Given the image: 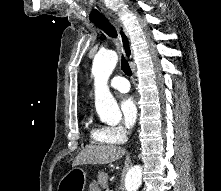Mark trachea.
Returning <instances> with one entry per match:
<instances>
[{"label":"trachea","instance_id":"3493384b","mask_svg":"<svg viewBox=\"0 0 221 191\" xmlns=\"http://www.w3.org/2000/svg\"><path fill=\"white\" fill-rule=\"evenodd\" d=\"M92 23H94L99 28H101L108 36H110L112 38H116L117 37L116 30L111 25V23H109L107 21L106 18L103 17V18L94 20V21H92ZM121 69L123 70V72L126 75H128V76L132 75V71H131L130 66L128 64V61L123 56H122V60H121Z\"/></svg>","mask_w":221,"mask_h":191}]
</instances>
